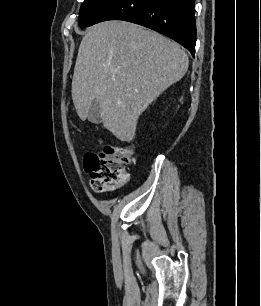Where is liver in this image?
<instances>
[{
  "instance_id": "obj_1",
  "label": "liver",
  "mask_w": 261,
  "mask_h": 306,
  "mask_svg": "<svg viewBox=\"0 0 261 306\" xmlns=\"http://www.w3.org/2000/svg\"><path fill=\"white\" fill-rule=\"evenodd\" d=\"M177 43L125 21L89 28L78 50L72 99L81 120L99 102L104 126L121 141L135 138L137 120L161 93L188 70Z\"/></svg>"
}]
</instances>
